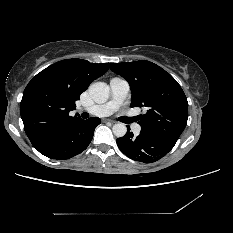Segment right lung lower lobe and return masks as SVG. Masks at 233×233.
Returning <instances> with one entry per match:
<instances>
[{"instance_id":"obj_1","label":"right lung lower lobe","mask_w":233,"mask_h":233,"mask_svg":"<svg viewBox=\"0 0 233 233\" xmlns=\"http://www.w3.org/2000/svg\"><path fill=\"white\" fill-rule=\"evenodd\" d=\"M100 123L99 118L76 119L34 147L51 159H69L88 147L93 138L94 130Z\"/></svg>"}]
</instances>
